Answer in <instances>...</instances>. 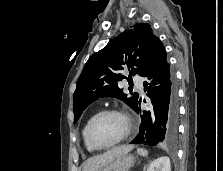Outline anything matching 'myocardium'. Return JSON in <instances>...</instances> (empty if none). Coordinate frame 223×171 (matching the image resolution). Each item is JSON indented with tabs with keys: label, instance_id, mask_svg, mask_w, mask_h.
Wrapping results in <instances>:
<instances>
[{
	"label": "myocardium",
	"instance_id": "myocardium-1",
	"mask_svg": "<svg viewBox=\"0 0 223 171\" xmlns=\"http://www.w3.org/2000/svg\"><path fill=\"white\" fill-rule=\"evenodd\" d=\"M109 114H115V115H119L120 117H122L125 121V132L124 134L115 142L108 144V145H99L97 144L91 135V131H92V127L95 124V122L101 118L102 116L105 115H109ZM132 131V120L131 117L123 110L121 109H117V108H108V109H104L99 111L98 113H96L88 122L87 127H86V138L88 143L95 149V150H104V149H109L111 147H114L118 144H120L121 142H123L126 138H128V136L131 134Z\"/></svg>",
	"mask_w": 223,
	"mask_h": 171
}]
</instances>
